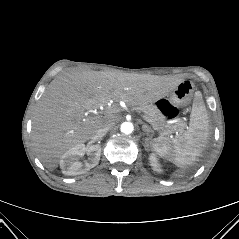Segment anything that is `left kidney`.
Listing matches in <instances>:
<instances>
[{
	"mask_svg": "<svg viewBox=\"0 0 239 239\" xmlns=\"http://www.w3.org/2000/svg\"><path fill=\"white\" fill-rule=\"evenodd\" d=\"M149 160H150V165L152 166L153 170L156 172H161L160 165H159L157 157L154 153L150 154Z\"/></svg>",
	"mask_w": 239,
	"mask_h": 239,
	"instance_id": "1",
	"label": "left kidney"
}]
</instances>
